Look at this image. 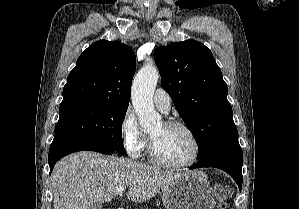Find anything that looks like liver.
<instances>
[{
	"label": "liver",
	"instance_id": "6515ba94",
	"mask_svg": "<svg viewBox=\"0 0 299 209\" xmlns=\"http://www.w3.org/2000/svg\"><path fill=\"white\" fill-rule=\"evenodd\" d=\"M192 172L163 170L131 159L82 151L55 165L52 173L54 209H89L109 202L116 190L128 187L127 198L144 202L160 189Z\"/></svg>",
	"mask_w": 299,
	"mask_h": 209
}]
</instances>
